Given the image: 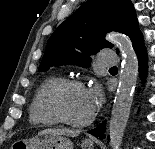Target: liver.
<instances>
[{
    "mask_svg": "<svg viewBox=\"0 0 155 149\" xmlns=\"http://www.w3.org/2000/svg\"><path fill=\"white\" fill-rule=\"evenodd\" d=\"M40 133L58 134V135L76 137L80 134V131L74 130V129L63 128V129H45L41 131Z\"/></svg>",
    "mask_w": 155,
    "mask_h": 149,
    "instance_id": "1",
    "label": "liver"
}]
</instances>
